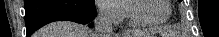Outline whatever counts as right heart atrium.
Here are the masks:
<instances>
[{
	"instance_id": "obj_1",
	"label": "right heart atrium",
	"mask_w": 219,
	"mask_h": 37,
	"mask_svg": "<svg viewBox=\"0 0 219 37\" xmlns=\"http://www.w3.org/2000/svg\"><path fill=\"white\" fill-rule=\"evenodd\" d=\"M98 7L101 14L108 20L120 21L125 16V9L121 0L99 1Z\"/></svg>"
}]
</instances>
